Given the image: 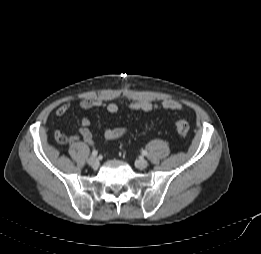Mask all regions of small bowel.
Returning <instances> with one entry per match:
<instances>
[{"label":"small bowel","mask_w":261,"mask_h":254,"mask_svg":"<svg viewBox=\"0 0 261 254\" xmlns=\"http://www.w3.org/2000/svg\"><path fill=\"white\" fill-rule=\"evenodd\" d=\"M70 107L71 105L69 102H64L56 108L55 114L58 117H62L69 111ZM79 107L84 110L100 107L103 108L108 114H115L118 112L117 104L113 102H105L99 98H85L80 101ZM129 107L132 110L143 112H150L158 109L173 111H182L184 109V106L181 102L173 99H164L158 102L140 100L132 102ZM90 125V118L85 116L81 119V126L78 129V135L66 136L62 132L57 131L56 137L59 141L70 144L76 143L78 138L81 137L86 144L94 145L93 136L89 129ZM128 131L129 129L127 127L107 128L105 129L103 135L105 141L109 143L123 137L128 133Z\"/></svg>","instance_id":"1"}]
</instances>
